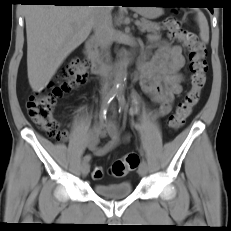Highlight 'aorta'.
Instances as JSON below:
<instances>
[{
  "label": "aorta",
  "mask_w": 231,
  "mask_h": 231,
  "mask_svg": "<svg viewBox=\"0 0 231 231\" xmlns=\"http://www.w3.org/2000/svg\"><path fill=\"white\" fill-rule=\"evenodd\" d=\"M126 76H127V72H126V69H125V64H123L115 79H114V87L117 91H121L123 90V87H124V82H125V79H126Z\"/></svg>",
  "instance_id": "aorta-1"
}]
</instances>
